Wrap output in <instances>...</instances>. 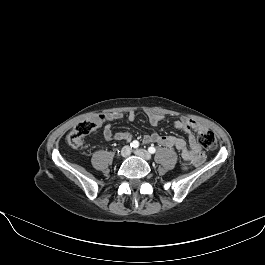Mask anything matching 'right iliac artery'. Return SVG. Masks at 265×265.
<instances>
[{
	"label": "right iliac artery",
	"instance_id": "obj_1",
	"mask_svg": "<svg viewBox=\"0 0 265 265\" xmlns=\"http://www.w3.org/2000/svg\"><path fill=\"white\" fill-rule=\"evenodd\" d=\"M131 148H137L139 146V142L137 140H134L130 143Z\"/></svg>",
	"mask_w": 265,
	"mask_h": 265
}]
</instances>
